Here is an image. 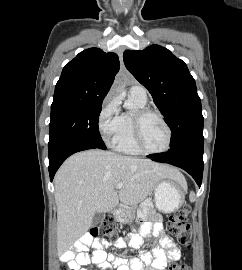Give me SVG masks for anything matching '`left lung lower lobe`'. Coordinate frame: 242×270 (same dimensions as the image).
I'll use <instances>...</instances> for the list:
<instances>
[{
  "label": "left lung lower lobe",
  "mask_w": 242,
  "mask_h": 270,
  "mask_svg": "<svg viewBox=\"0 0 242 270\" xmlns=\"http://www.w3.org/2000/svg\"><path fill=\"white\" fill-rule=\"evenodd\" d=\"M204 139L190 141L176 150L148 155L153 161L169 163L187 171L198 186L202 183Z\"/></svg>",
  "instance_id": "obj_1"
}]
</instances>
